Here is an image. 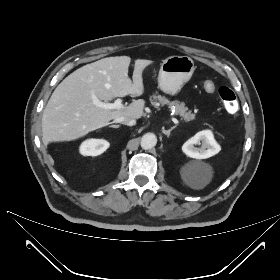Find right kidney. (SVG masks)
<instances>
[{"mask_svg":"<svg viewBox=\"0 0 280 280\" xmlns=\"http://www.w3.org/2000/svg\"><path fill=\"white\" fill-rule=\"evenodd\" d=\"M109 142L103 139H88L80 146V153L84 156H98L106 151Z\"/></svg>","mask_w":280,"mask_h":280,"instance_id":"right-kidney-1","label":"right kidney"}]
</instances>
